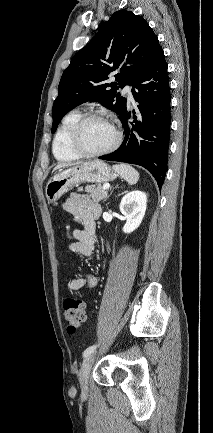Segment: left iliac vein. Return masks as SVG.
Masks as SVG:
<instances>
[{"instance_id":"1","label":"left iliac vein","mask_w":213,"mask_h":433,"mask_svg":"<svg viewBox=\"0 0 213 433\" xmlns=\"http://www.w3.org/2000/svg\"><path fill=\"white\" fill-rule=\"evenodd\" d=\"M95 359V354L88 355L82 363L81 370L79 372V382L82 389L83 394L87 393L88 390V377L92 367V364Z\"/></svg>"}]
</instances>
